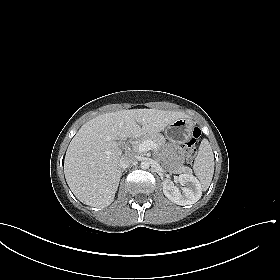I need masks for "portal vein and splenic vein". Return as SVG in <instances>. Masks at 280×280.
<instances>
[{"label":"portal vein and splenic vein","mask_w":280,"mask_h":280,"mask_svg":"<svg viewBox=\"0 0 280 280\" xmlns=\"http://www.w3.org/2000/svg\"><path fill=\"white\" fill-rule=\"evenodd\" d=\"M156 147H157V145L155 142H153L151 140H146L138 146V151L147 152L149 150L156 149Z\"/></svg>","instance_id":"18ae733b"}]
</instances>
